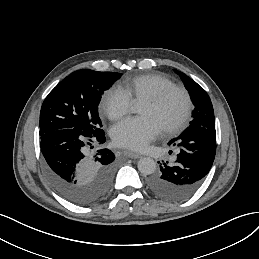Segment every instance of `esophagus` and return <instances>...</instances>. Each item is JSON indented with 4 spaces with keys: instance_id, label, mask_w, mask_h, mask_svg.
Wrapping results in <instances>:
<instances>
[{
    "instance_id": "esophagus-1",
    "label": "esophagus",
    "mask_w": 259,
    "mask_h": 259,
    "mask_svg": "<svg viewBox=\"0 0 259 259\" xmlns=\"http://www.w3.org/2000/svg\"><path fill=\"white\" fill-rule=\"evenodd\" d=\"M126 155H127V157L132 158V159H138L141 157V155L134 153L132 151H127Z\"/></svg>"
}]
</instances>
